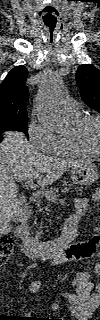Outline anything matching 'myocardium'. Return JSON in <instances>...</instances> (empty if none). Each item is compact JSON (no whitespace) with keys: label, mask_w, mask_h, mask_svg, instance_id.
Wrapping results in <instances>:
<instances>
[{"label":"myocardium","mask_w":100,"mask_h":320,"mask_svg":"<svg viewBox=\"0 0 100 320\" xmlns=\"http://www.w3.org/2000/svg\"><path fill=\"white\" fill-rule=\"evenodd\" d=\"M90 121H95L98 124L99 132H100V118L95 115H85V116L79 117L75 122H73L71 131L67 135L69 140L85 153L89 155H99L100 146L98 149L94 150L91 147H89L81 138V131L83 127L85 126L86 123Z\"/></svg>","instance_id":"obj_1"}]
</instances>
